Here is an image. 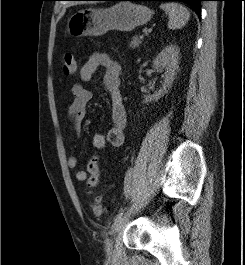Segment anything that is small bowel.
<instances>
[{"label":"small bowel","instance_id":"small-bowel-1","mask_svg":"<svg viewBox=\"0 0 245 265\" xmlns=\"http://www.w3.org/2000/svg\"><path fill=\"white\" fill-rule=\"evenodd\" d=\"M99 68L104 69L103 85L111 100L112 126L106 135L95 133L92 136V145L99 150L107 147L118 148L124 143L127 125V113L121 94L122 67L106 52H95L82 65L79 72L80 79L83 82L92 81ZM72 95L73 99L66 111V117L72 129L79 134L81 122L86 114V107L93 94L89 89L76 83L72 87ZM67 166L71 170L77 169V159L74 156L68 157ZM75 177L80 182L88 180L84 170H77Z\"/></svg>","mask_w":245,"mask_h":265}]
</instances>
